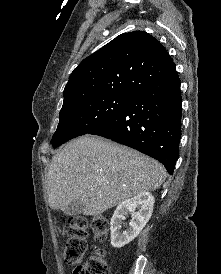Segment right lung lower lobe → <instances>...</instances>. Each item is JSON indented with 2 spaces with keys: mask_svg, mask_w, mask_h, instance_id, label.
Returning a JSON list of instances; mask_svg holds the SVG:
<instances>
[{
  "mask_svg": "<svg viewBox=\"0 0 221 274\" xmlns=\"http://www.w3.org/2000/svg\"><path fill=\"white\" fill-rule=\"evenodd\" d=\"M180 79L176 68L135 94L109 121L89 134L134 148L173 174L181 138Z\"/></svg>",
  "mask_w": 221,
  "mask_h": 274,
  "instance_id": "1",
  "label": "right lung lower lobe"
}]
</instances>
